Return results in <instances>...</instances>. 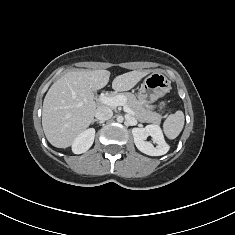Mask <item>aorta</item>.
<instances>
[{"instance_id":"762f6f07","label":"aorta","mask_w":235,"mask_h":235,"mask_svg":"<svg viewBox=\"0 0 235 235\" xmlns=\"http://www.w3.org/2000/svg\"><path fill=\"white\" fill-rule=\"evenodd\" d=\"M117 121L120 122V123L123 122V117L122 116H118L117 117Z\"/></svg>"}]
</instances>
